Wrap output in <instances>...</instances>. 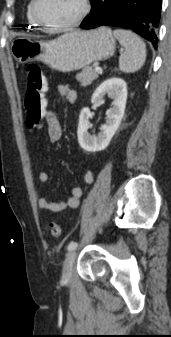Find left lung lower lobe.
Listing matches in <instances>:
<instances>
[{
	"label": "left lung lower lobe",
	"mask_w": 171,
	"mask_h": 337,
	"mask_svg": "<svg viewBox=\"0 0 171 337\" xmlns=\"http://www.w3.org/2000/svg\"><path fill=\"white\" fill-rule=\"evenodd\" d=\"M92 5L90 14L81 23L82 29L103 25L130 29L157 48L162 0H93Z\"/></svg>",
	"instance_id": "left-lung-lower-lobe-1"
}]
</instances>
